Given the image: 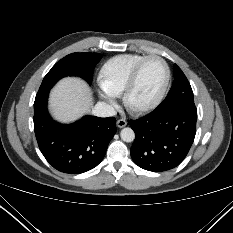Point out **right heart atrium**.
Returning a JSON list of instances; mask_svg holds the SVG:
<instances>
[{
	"mask_svg": "<svg viewBox=\"0 0 233 233\" xmlns=\"http://www.w3.org/2000/svg\"><path fill=\"white\" fill-rule=\"evenodd\" d=\"M101 97L110 105V106H115L116 102H115V95H112L110 93H102Z\"/></svg>",
	"mask_w": 233,
	"mask_h": 233,
	"instance_id": "1",
	"label": "right heart atrium"
}]
</instances>
